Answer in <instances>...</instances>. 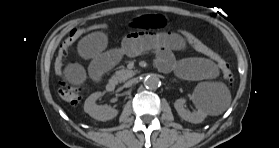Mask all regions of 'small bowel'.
Listing matches in <instances>:
<instances>
[{
	"instance_id": "small-bowel-1",
	"label": "small bowel",
	"mask_w": 279,
	"mask_h": 148,
	"mask_svg": "<svg viewBox=\"0 0 279 148\" xmlns=\"http://www.w3.org/2000/svg\"><path fill=\"white\" fill-rule=\"evenodd\" d=\"M108 39L103 32H93L85 36L79 43L80 55L90 60L88 75L99 79L101 75L114 66L122 57H134L147 51H154L156 64L162 71L175 69L177 74L185 79H212L218 75L217 66L204 58H188L175 61L173 51L186 47L185 40L174 33L136 32L126 36L120 47L107 48ZM66 78L75 85L82 84L87 72L77 62H69L65 66Z\"/></svg>"
}]
</instances>
